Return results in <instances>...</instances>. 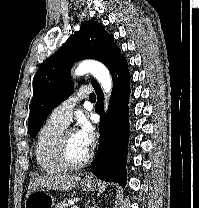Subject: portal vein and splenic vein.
Masks as SVG:
<instances>
[{
	"instance_id": "18ae733b",
	"label": "portal vein and splenic vein",
	"mask_w": 199,
	"mask_h": 208,
	"mask_svg": "<svg viewBox=\"0 0 199 208\" xmlns=\"http://www.w3.org/2000/svg\"><path fill=\"white\" fill-rule=\"evenodd\" d=\"M72 208H79V207H77V206H74V207H72Z\"/></svg>"
}]
</instances>
